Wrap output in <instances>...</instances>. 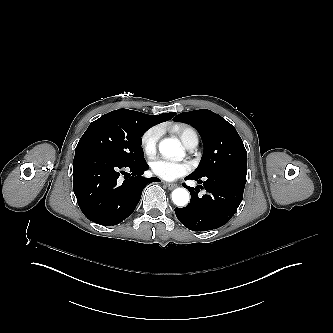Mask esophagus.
Listing matches in <instances>:
<instances>
[{
	"mask_svg": "<svg viewBox=\"0 0 333 333\" xmlns=\"http://www.w3.org/2000/svg\"><path fill=\"white\" fill-rule=\"evenodd\" d=\"M169 190H173L177 187V184L175 183H165Z\"/></svg>",
	"mask_w": 333,
	"mask_h": 333,
	"instance_id": "esophagus-1",
	"label": "esophagus"
}]
</instances>
